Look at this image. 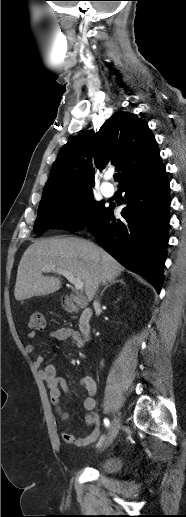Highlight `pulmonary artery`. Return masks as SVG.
Listing matches in <instances>:
<instances>
[{"label": "pulmonary artery", "mask_w": 186, "mask_h": 517, "mask_svg": "<svg viewBox=\"0 0 186 517\" xmlns=\"http://www.w3.org/2000/svg\"><path fill=\"white\" fill-rule=\"evenodd\" d=\"M109 176L105 177V180L101 184V192L105 197H111L114 194V189L108 182Z\"/></svg>", "instance_id": "e3ab8cb5"}]
</instances>
